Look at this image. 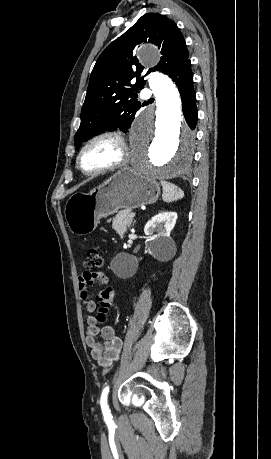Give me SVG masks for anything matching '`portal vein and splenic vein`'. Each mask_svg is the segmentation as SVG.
Listing matches in <instances>:
<instances>
[{
	"instance_id": "obj_1",
	"label": "portal vein and splenic vein",
	"mask_w": 271,
	"mask_h": 459,
	"mask_svg": "<svg viewBox=\"0 0 271 459\" xmlns=\"http://www.w3.org/2000/svg\"><path fill=\"white\" fill-rule=\"evenodd\" d=\"M128 216L129 217H136V213L135 212H130Z\"/></svg>"
}]
</instances>
